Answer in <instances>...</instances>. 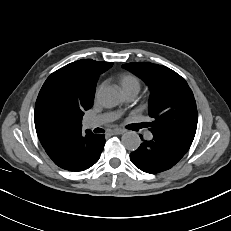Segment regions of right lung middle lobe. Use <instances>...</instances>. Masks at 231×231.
Segmentation results:
<instances>
[{
  "mask_svg": "<svg viewBox=\"0 0 231 231\" xmlns=\"http://www.w3.org/2000/svg\"><path fill=\"white\" fill-rule=\"evenodd\" d=\"M51 112L55 116V118L62 123L66 121H76L78 123H81L82 116L84 115L80 111H73L70 108L61 104L54 105L51 108Z\"/></svg>",
  "mask_w": 231,
  "mask_h": 231,
  "instance_id": "dd1d6c3e",
  "label": "right lung middle lobe"
}]
</instances>
